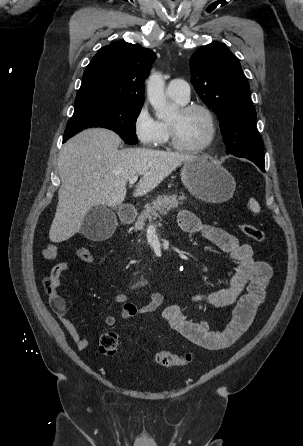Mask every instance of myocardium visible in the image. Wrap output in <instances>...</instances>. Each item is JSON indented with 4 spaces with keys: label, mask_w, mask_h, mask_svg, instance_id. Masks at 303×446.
Here are the masks:
<instances>
[{
    "label": "myocardium",
    "mask_w": 303,
    "mask_h": 446,
    "mask_svg": "<svg viewBox=\"0 0 303 446\" xmlns=\"http://www.w3.org/2000/svg\"><path fill=\"white\" fill-rule=\"evenodd\" d=\"M180 114H188L192 111H201L204 113L209 124V135L207 139L198 146H185L179 142L176 129L170 122L167 123L169 144L172 148L183 153L196 154L208 149L214 142L217 135V124L213 112L209 107L201 103L183 104L178 108Z\"/></svg>",
    "instance_id": "f54148a6"
}]
</instances>
